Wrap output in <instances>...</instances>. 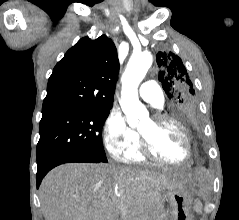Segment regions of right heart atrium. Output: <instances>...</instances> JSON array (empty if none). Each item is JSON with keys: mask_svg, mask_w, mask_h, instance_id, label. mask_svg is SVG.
I'll list each match as a JSON object with an SVG mask.
<instances>
[{"mask_svg": "<svg viewBox=\"0 0 239 220\" xmlns=\"http://www.w3.org/2000/svg\"><path fill=\"white\" fill-rule=\"evenodd\" d=\"M102 135L107 151L115 159H123L126 152L139 142L138 134L127 125L124 115L116 108L106 116Z\"/></svg>", "mask_w": 239, "mask_h": 220, "instance_id": "1", "label": "right heart atrium"}]
</instances>
